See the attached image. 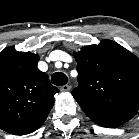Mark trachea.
Returning a JSON list of instances; mask_svg holds the SVG:
<instances>
[{"label":"trachea","mask_w":139,"mask_h":139,"mask_svg":"<svg viewBox=\"0 0 139 139\" xmlns=\"http://www.w3.org/2000/svg\"><path fill=\"white\" fill-rule=\"evenodd\" d=\"M51 82L56 86H62L68 82V78L64 73L56 72L52 75Z\"/></svg>","instance_id":"trachea-1"}]
</instances>
